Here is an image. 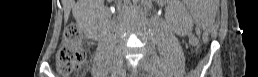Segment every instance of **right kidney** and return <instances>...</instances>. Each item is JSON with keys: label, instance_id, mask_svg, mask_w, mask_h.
I'll use <instances>...</instances> for the list:
<instances>
[{"label": "right kidney", "instance_id": "obj_1", "mask_svg": "<svg viewBox=\"0 0 258 77\" xmlns=\"http://www.w3.org/2000/svg\"><path fill=\"white\" fill-rule=\"evenodd\" d=\"M81 10H87L90 13H92V18L93 19H97L100 17V15L102 13L105 12V9L103 6H101V4H88L86 3V6H82ZM84 27H86V25H84Z\"/></svg>", "mask_w": 258, "mask_h": 77}]
</instances>
